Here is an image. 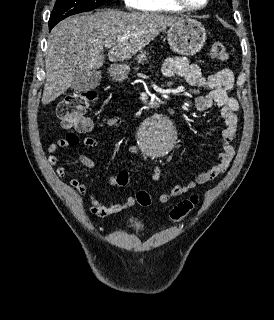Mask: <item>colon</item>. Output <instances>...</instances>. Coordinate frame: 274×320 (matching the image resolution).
Listing matches in <instances>:
<instances>
[{
	"mask_svg": "<svg viewBox=\"0 0 274 320\" xmlns=\"http://www.w3.org/2000/svg\"><path fill=\"white\" fill-rule=\"evenodd\" d=\"M211 58L214 62L223 64L230 60V52L223 43H214L211 46ZM97 94L93 90H80L68 94L62 102L57 106L56 115L59 118L62 128L66 132L65 138H78L81 134L80 127L77 126L78 120H90L85 113L89 105L95 101ZM128 170L118 169L115 176L116 186H128ZM136 199L141 205L150 204V196L147 192L139 191ZM199 198L192 196L176 205L171 212V217L175 221H179L186 217L198 204Z\"/></svg>",
	"mask_w": 274,
	"mask_h": 320,
	"instance_id": "1",
	"label": "colon"
}]
</instances>
